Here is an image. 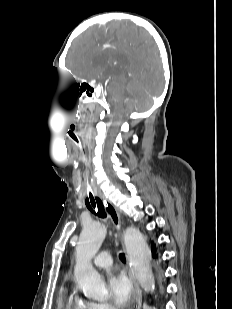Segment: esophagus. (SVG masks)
<instances>
[{
	"mask_svg": "<svg viewBox=\"0 0 232 309\" xmlns=\"http://www.w3.org/2000/svg\"><path fill=\"white\" fill-rule=\"evenodd\" d=\"M101 199L103 200V203H104V206L106 208V211L114 225V227L116 229H120V225H121V222H120V216H119V213L117 211V209L114 207V205L107 199L105 198L103 195L100 196ZM130 278L132 279L133 283H134V288H135V291H136V296H137V299H136V304H135V308L136 309H141V306H142V293H141V290H140V287L139 285L135 282L134 278L132 277V275H130Z\"/></svg>",
	"mask_w": 232,
	"mask_h": 309,
	"instance_id": "obj_1",
	"label": "esophagus"
}]
</instances>
